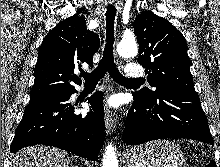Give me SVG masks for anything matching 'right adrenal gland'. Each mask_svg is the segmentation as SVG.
Wrapping results in <instances>:
<instances>
[{
    "mask_svg": "<svg viewBox=\"0 0 220 167\" xmlns=\"http://www.w3.org/2000/svg\"><path fill=\"white\" fill-rule=\"evenodd\" d=\"M70 167H79V165H75V166L71 165Z\"/></svg>",
    "mask_w": 220,
    "mask_h": 167,
    "instance_id": "obj_1",
    "label": "right adrenal gland"
}]
</instances>
